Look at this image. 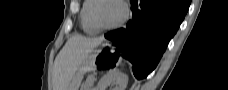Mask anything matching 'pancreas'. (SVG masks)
Listing matches in <instances>:
<instances>
[{"label": "pancreas", "instance_id": "1", "mask_svg": "<svg viewBox=\"0 0 228 90\" xmlns=\"http://www.w3.org/2000/svg\"><path fill=\"white\" fill-rule=\"evenodd\" d=\"M94 78L95 77L93 75H89L86 78L85 82L82 84L81 90H92Z\"/></svg>", "mask_w": 228, "mask_h": 90}]
</instances>
